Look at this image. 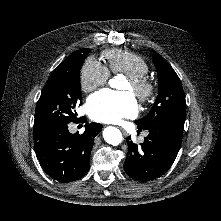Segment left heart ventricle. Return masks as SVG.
<instances>
[{
  "instance_id": "left-heart-ventricle-1",
  "label": "left heart ventricle",
  "mask_w": 221,
  "mask_h": 221,
  "mask_svg": "<svg viewBox=\"0 0 221 221\" xmlns=\"http://www.w3.org/2000/svg\"><path fill=\"white\" fill-rule=\"evenodd\" d=\"M119 89H120L121 91H126V92H131V93H132L131 86H130V84L128 83L127 80H124V81H122V82L120 83Z\"/></svg>"
}]
</instances>
